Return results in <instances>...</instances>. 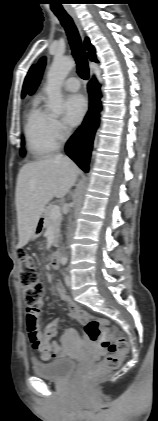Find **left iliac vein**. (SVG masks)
<instances>
[{
  "instance_id": "4c4485c4",
  "label": "left iliac vein",
  "mask_w": 158,
  "mask_h": 421,
  "mask_svg": "<svg viewBox=\"0 0 158 421\" xmlns=\"http://www.w3.org/2000/svg\"><path fill=\"white\" fill-rule=\"evenodd\" d=\"M65 283L67 286H71V277L69 274L65 276Z\"/></svg>"
}]
</instances>
